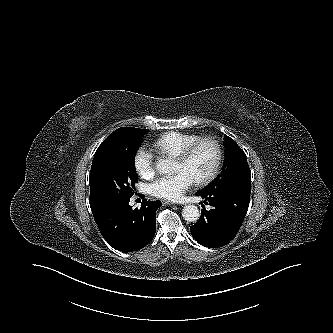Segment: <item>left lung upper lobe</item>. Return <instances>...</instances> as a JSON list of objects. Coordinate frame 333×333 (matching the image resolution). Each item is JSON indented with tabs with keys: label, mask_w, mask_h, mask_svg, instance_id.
Segmentation results:
<instances>
[{
	"label": "left lung upper lobe",
	"mask_w": 333,
	"mask_h": 333,
	"mask_svg": "<svg viewBox=\"0 0 333 333\" xmlns=\"http://www.w3.org/2000/svg\"><path fill=\"white\" fill-rule=\"evenodd\" d=\"M225 165L222 173L201 191H214L226 197L249 202L251 172L244 151L230 137L225 135Z\"/></svg>",
	"instance_id": "left-lung-upper-lobe-1"
}]
</instances>
